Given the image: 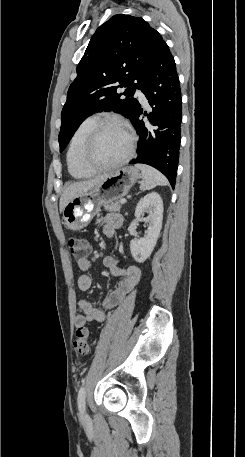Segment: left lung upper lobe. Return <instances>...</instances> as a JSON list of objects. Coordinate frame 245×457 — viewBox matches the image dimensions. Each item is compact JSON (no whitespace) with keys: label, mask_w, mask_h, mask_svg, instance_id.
I'll use <instances>...</instances> for the list:
<instances>
[{"label":"left lung upper lobe","mask_w":245,"mask_h":457,"mask_svg":"<svg viewBox=\"0 0 245 457\" xmlns=\"http://www.w3.org/2000/svg\"><path fill=\"white\" fill-rule=\"evenodd\" d=\"M161 39L142 18L125 14L114 15L98 28L67 93L61 113L60 152L82 121L95 112L114 111L133 118L139 108L133 95ZM119 87L126 88L124 93L117 94ZM121 95L126 99H120Z\"/></svg>","instance_id":"1"}]
</instances>
